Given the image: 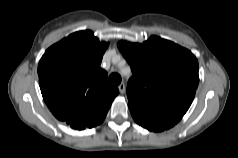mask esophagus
<instances>
[{
	"instance_id": "34e87169",
	"label": "esophagus",
	"mask_w": 238,
	"mask_h": 158,
	"mask_svg": "<svg viewBox=\"0 0 238 158\" xmlns=\"http://www.w3.org/2000/svg\"><path fill=\"white\" fill-rule=\"evenodd\" d=\"M118 89H119V92L121 94H124L125 93V84L124 83H121L119 86H118Z\"/></svg>"
}]
</instances>
